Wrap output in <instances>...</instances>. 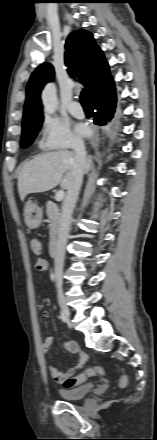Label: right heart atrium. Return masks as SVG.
I'll list each match as a JSON object with an SVG mask.
<instances>
[{"instance_id": "obj_1", "label": "right heart atrium", "mask_w": 157, "mask_h": 440, "mask_svg": "<svg viewBox=\"0 0 157 440\" xmlns=\"http://www.w3.org/2000/svg\"><path fill=\"white\" fill-rule=\"evenodd\" d=\"M82 144L67 121L57 117H46L41 127L40 146L46 150L65 149Z\"/></svg>"}]
</instances>
